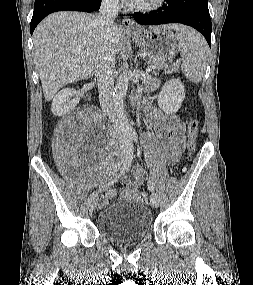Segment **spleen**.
Listing matches in <instances>:
<instances>
[{
	"instance_id": "1",
	"label": "spleen",
	"mask_w": 253,
	"mask_h": 285,
	"mask_svg": "<svg viewBox=\"0 0 253 285\" xmlns=\"http://www.w3.org/2000/svg\"><path fill=\"white\" fill-rule=\"evenodd\" d=\"M176 38L183 58L181 69L185 77L193 83L201 82L206 69L208 51L205 39L194 29L182 25L176 29Z\"/></svg>"
}]
</instances>
